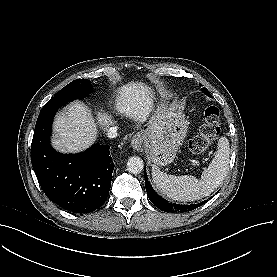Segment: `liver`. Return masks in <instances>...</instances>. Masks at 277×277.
I'll return each mask as SVG.
<instances>
[{
	"mask_svg": "<svg viewBox=\"0 0 277 277\" xmlns=\"http://www.w3.org/2000/svg\"><path fill=\"white\" fill-rule=\"evenodd\" d=\"M116 99V110L135 121H146L152 106L150 89L142 83H130L121 88ZM104 127L112 124L110 116L98 115ZM53 147L60 152H78L96 140L97 125L90 110L80 102L71 103L54 121Z\"/></svg>",
	"mask_w": 277,
	"mask_h": 277,
	"instance_id": "6515ba94",
	"label": "liver"
}]
</instances>
